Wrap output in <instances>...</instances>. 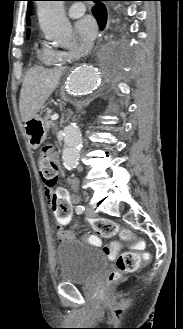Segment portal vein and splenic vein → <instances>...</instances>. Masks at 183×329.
Instances as JSON below:
<instances>
[{"mask_svg": "<svg viewBox=\"0 0 183 329\" xmlns=\"http://www.w3.org/2000/svg\"><path fill=\"white\" fill-rule=\"evenodd\" d=\"M58 117H59L58 114H54L52 115L51 120L55 121L58 119Z\"/></svg>", "mask_w": 183, "mask_h": 329, "instance_id": "portal-vein-and-splenic-vein-1", "label": "portal vein and splenic vein"}]
</instances>
